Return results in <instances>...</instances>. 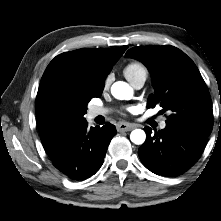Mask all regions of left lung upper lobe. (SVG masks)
<instances>
[{
	"label": "left lung upper lobe",
	"instance_id": "left-lung-upper-lobe-1",
	"mask_svg": "<svg viewBox=\"0 0 221 221\" xmlns=\"http://www.w3.org/2000/svg\"><path fill=\"white\" fill-rule=\"evenodd\" d=\"M125 56L141 61L150 71L154 95L148 107L159 104L169 111L166 124L180 126L207 138L213 127V111L208 88L194 62L170 45L139 46Z\"/></svg>",
	"mask_w": 221,
	"mask_h": 221
}]
</instances>
